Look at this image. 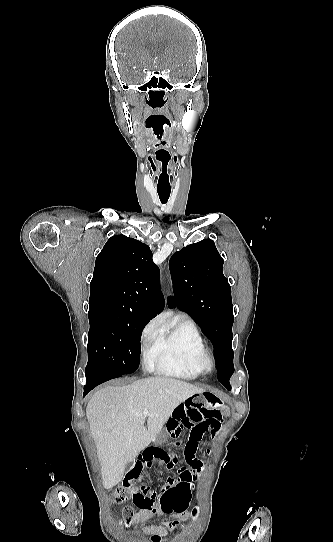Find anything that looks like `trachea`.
Instances as JSON below:
<instances>
[{
    "mask_svg": "<svg viewBox=\"0 0 333 542\" xmlns=\"http://www.w3.org/2000/svg\"><path fill=\"white\" fill-rule=\"evenodd\" d=\"M161 203H167L171 190L168 189H157Z\"/></svg>",
    "mask_w": 333,
    "mask_h": 542,
    "instance_id": "1",
    "label": "trachea"
}]
</instances>
